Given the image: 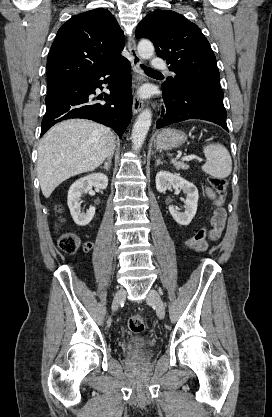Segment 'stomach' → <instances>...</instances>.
<instances>
[{
	"label": "stomach",
	"mask_w": 272,
	"mask_h": 417,
	"mask_svg": "<svg viewBox=\"0 0 272 417\" xmlns=\"http://www.w3.org/2000/svg\"><path fill=\"white\" fill-rule=\"evenodd\" d=\"M186 140L187 136L181 130L166 128L156 135L154 146L158 150H172L179 148Z\"/></svg>",
	"instance_id": "obj_1"
}]
</instances>
